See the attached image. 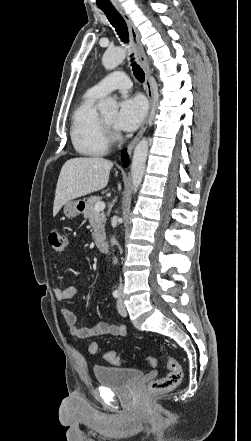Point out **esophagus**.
<instances>
[{
    "instance_id": "esophagus-1",
    "label": "esophagus",
    "mask_w": 251,
    "mask_h": 441,
    "mask_svg": "<svg viewBox=\"0 0 251 441\" xmlns=\"http://www.w3.org/2000/svg\"><path fill=\"white\" fill-rule=\"evenodd\" d=\"M118 11L122 15V17L124 18V20L127 24L131 44H132L133 49L136 53L138 62L140 63V65L142 66V68L145 72V76H146L145 91H146V95H147L148 101H149L148 114H147L139 132L136 134V136L132 139V141L129 143V145L127 147L128 153L131 154L133 148L136 146V144L139 142V140L143 136L144 132L146 131V128H147V125H148V122L150 119V115L153 110L154 95H153V87H152L151 77H150L149 64H148L146 54L144 52L143 45L140 41L139 32H138L137 28L135 27L132 19L125 12V10L123 8H118Z\"/></svg>"
}]
</instances>
